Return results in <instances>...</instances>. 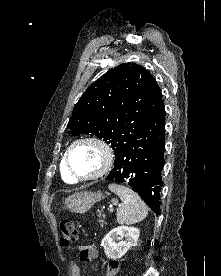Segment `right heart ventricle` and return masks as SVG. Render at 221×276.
<instances>
[{
	"label": "right heart ventricle",
	"mask_w": 221,
	"mask_h": 276,
	"mask_svg": "<svg viewBox=\"0 0 221 276\" xmlns=\"http://www.w3.org/2000/svg\"><path fill=\"white\" fill-rule=\"evenodd\" d=\"M60 170H61V176L64 181L69 182V183L75 182V180L72 177H70L69 174L67 173L65 164H64V160L61 161Z\"/></svg>",
	"instance_id": "e07e8e85"
}]
</instances>
